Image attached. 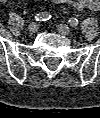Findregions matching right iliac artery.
Wrapping results in <instances>:
<instances>
[{
  "label": "right iliac artery",
  "instance_id": "1",
  "mask_svg": "<svg viewBox=\"0 0 100 118\" xmlns=\"http://www.w3.org/2000/svg\"><path fill=\"white\" fill-rule=\"evenodd\" d=\"M51 18L50 13L48 12H41L35 16L36 21H46Z\"/></svg>",
  "mask_w": 100,
  "mask_h": 118
}]
</instances>
